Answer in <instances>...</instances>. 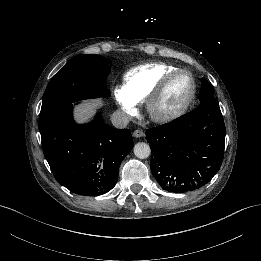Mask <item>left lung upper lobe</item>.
I'll return each mask as SVG.
<instances>
[{"instance_id":"left-lung-upper-lobe-1","label":"left lung upper lobe","mask_w":261,"mask_h":261,"mask_svg":"<svg viewBox=\"0 0 261 261\" xmlns=\"http://www.w3.org/2000/svg\"><path fill=\"white\" fill-rule=\"evenodd\" d=\"M213 94H214V90L212 89L208 81L205 78H203L201 80V91L199 96L200 101L214 98Z\"/></svg>"}]
</instances>
